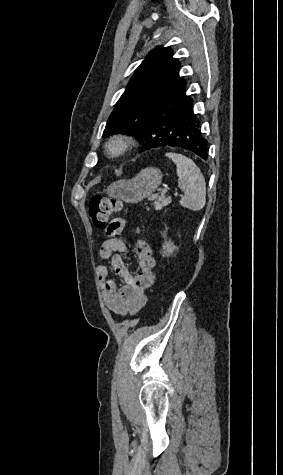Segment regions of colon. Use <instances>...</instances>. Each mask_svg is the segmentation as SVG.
<instances>
[{
	"label": "colon",
	"mask_w": 283,
	"mask_h": 475,
	"mask_svg": "<svg viewBox=\"0 0 283 475\" xmlns=\"http://www.w3.org/2000/svg\"><path fill=\"white\" fill-rule=\"evenodd\" d=\"M124 209V204L115 198L107 196H95L88 205V215L94 227L103 229L107 227L108 221L114 213ZM138 271L131 279L132 284H136L137 280H144L153 276L155 260L152 254L151 246L143 241L138 240Z\"/></svg>",
	"instance_id": "obj_1"
}]
</instances>
